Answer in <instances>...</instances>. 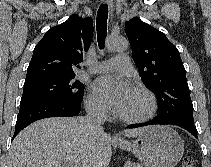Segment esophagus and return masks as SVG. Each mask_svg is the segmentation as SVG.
<instances>
[{"label": "esophagus", "instance_id": "1", "mask_svg": "<svg viewBox=\"0 0 211 167\" xmlns=\"http://www.w3.org/2000/svg\"><path fill=\"white\" fill-rule=\"evenodd\" d=\"M104 3H108L110 9H111V12L113 10V0H102ZM113 140H121V138L118 136V135H113Z\"/></svg>", "mask_w": 211, "mask_h": 167}]
</instances>
